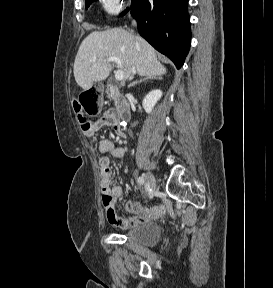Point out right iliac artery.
<instances>
[{"label":"right iliac artery","mask_w":273,"mask_h":288,"mask_svg":"<svg viewBox=\"0 0 273 288\" xmlns=\"http://www.w3.org/2000/svg\"><path fill=\"white\" fill-rule=\"evenodd\" d=\"M137 182L139 185H143L144 184V177L143 176H140L138 179H137Z\"/></svg>","instance_id":"right-iliac-artery-1"}]
</instances>
